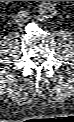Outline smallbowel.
Here are the masks:
<instances>
[{
	"instance_id": "c3829d8e",
	"label": "small bowel",
	"mask_w": 74,
	"mask_h": 122,
	"mask_svg": "<svg viewBox=\"0 0 74 122\" xmlns=\"http://www.w3.org/2000/svg\"><path fill=\"white\" fill-rule=\"evenodd\" d=\"M53 10H54V6H53L52 2H48L47 4L43 5L40 8L41 13L45 14V15H50Z\"/></svg>"
}]
</instances>
